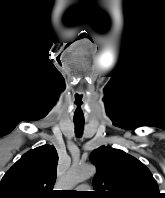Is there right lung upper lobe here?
Wrapping results in <instances>:
<instances>
[{
	"label": "right lung upper lobe",
	"instance_id": "cb5924a9",
	"mask_svg": "<svg viewBox=\"0 0 165 198\" xmlns=\"http://www.w3.org/2000/svg\"><path fill=\"white\" fill-rule=\"evenodd\" d=\"M58 154L50 145L25 153L0 182V198H49L54 194Z\"/></svg>",
	"mask_w": 165,
	"mask_h": 198
}]
</instances>
